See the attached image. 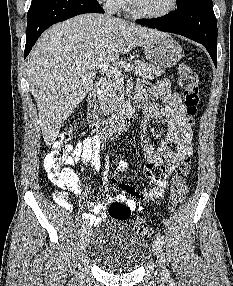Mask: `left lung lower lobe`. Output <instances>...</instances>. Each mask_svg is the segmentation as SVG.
<instances>
[{"instance_id":"left-lung-lower-lobe-1","label":"left lung lower lobe","mask_w":233,"mask_h":286,"mask_svg":"<svg viewBox=\"0 0 233 286\" xmlns=\"http://www.w3.org/2000/svg\"><path fill=\"white\" fill-rule=\"evenodd\" d=\"M136 22L201 43L217 66V22L212 0H184L177 4L173 14L155 19H139Z\"/></svg>"}]
</instances>
